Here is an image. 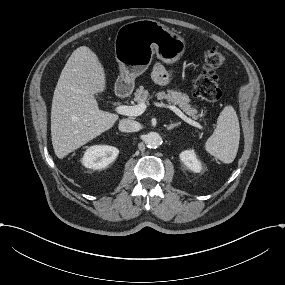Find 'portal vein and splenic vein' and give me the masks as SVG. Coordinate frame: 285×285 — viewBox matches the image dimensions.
Masks as SVG:
<instances>
[{
	"instance_id": "1",
	"label": "portal vein and splenic vein",
	"mask_w": 285,
	"mask_h": 285,
	"mask_svg": "<svg viewBox=\"0 0 285 285\" xmlns=\"http://www.w3.org/2000/svg\"><path fill=\"white\" fill-rule=\"evenodd\" d=\"M156 107H164V108H169L170 110H172L177 116H179L182 120H184L185 122H187L188 124L197 127L199 129H202L203 127L200 125V123L192 120L191 118L187 117L179 108H177L174 105H167L164 103H159L156 102L154 103ZM146 104L143 103H139L138 105L135 106H126V105H121L116 107V112L118 114L121 115H126V116H139L141 114L144 113V111L146 110Z\"/></svg>"
}]
</instances>
